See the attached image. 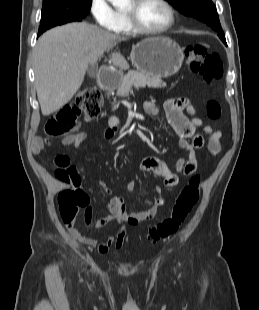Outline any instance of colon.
Here are the masks:
<instances>
[{
    "instance_id": "5ec220e1",
    "label": "colon",
    "mask_w": 259,
    "mask_h": 310,
    "mask_svg": "<svg viewBox=\"0 0 259 310\" xmlns=\"http://www.w3.org/2000/svg\"><path fill=\"white\" fill-rule=\"evenodd\" d=\"M185 51L191 71L199 74L204 81L212 83L221 78L222 63L215 52L197 44L188 45ZM101 100V93L94 85L80 90L70 106L61 110L47 122L45 131L48 139L70 134L79 119L86 121L96 119L100 112ZM206 113L211 120L218 121L222 113L220 104L215 100H209ZM55 162L58 166L56 176L69 186L58 195L59 214L64 224L73 225L81 211L84 210L85 214L89 208L90 198L88 193L80 187L81 177L76 168L70 165L69 158L59 155ZM200 182L201 176L195 175L181 190L175 200L171 215L150 229L149 240L151 242L163 240L179 229L198 201Z\"/></svg>"
}]
</instances>
